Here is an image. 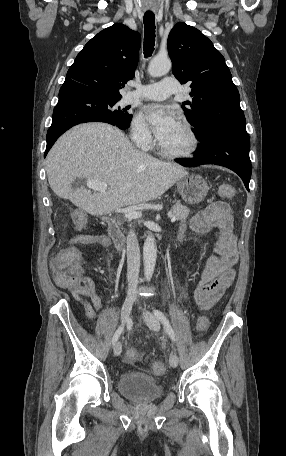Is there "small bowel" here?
<instances>
[{"label":"small bowel","mask_w":286,"mask_h":456,"mask_svg":"<svg viewBox=\"0 0 286 456\" xmlns=\"http://www.w3.org/2000/svg\"><path fill=\"white\" fill-rule=\"evenodd\" d=\"M213 228L220 231L215 246L216 254L208 257L199 267L194 288L196 305L200 310L213 307L235 279V265L239 252L234 234V216L231 208L224 202H214L197 213L190 221V229L202 234ZM178 235L184 236L182 227ZM71 242L80 246L110 247L111 242L105 236L79 234ZM73 297L79 301L88 319L93 320L102 310L103 304L94 281L88 278Z\"/></svg>","instance_id":"small-bowel-1"}]
</instances>
